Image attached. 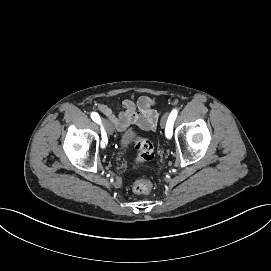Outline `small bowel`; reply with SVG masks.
Returning <instances> with one entry per match:
<instances>
[{"label": "small bowel", "instance_id": "small-bowel-1", "mask_svg": "<svg viewBox=\"0 0 271 271\" xmlns=\"http://www.w3.org/2000/svg\"><path fill=\"white\" fill-rule=\"evenodd\" d=\"M154 100L148 96H141L137 100L126 99L122 102L119 112L115 113L104 103L97 104V109L119 132L135 125L142 130H154L160 113L154 108Z\"/></svg>", "mask_w": 271, "mask_h": 271}]
</instances>
